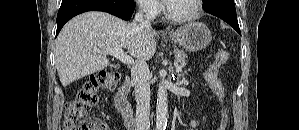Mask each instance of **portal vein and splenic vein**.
Masks as SVG:
<instances>
[{
    "instance_id": "1",
    "label": "portal vein and splenic vein",
    "mask_w": 299,
    "mask_h": 130,
    "mask_svg": "<svg viewBox=\"0 0 299 130\" xmlns=\"http://www.w3.org/2000/svg\"><path fill=\"white\" fill-rule=\"evenodd\" d=\"M97 52L101 53V54H110L113 57H115L116 59L120 60L123 63L126 64H132L133 63V59L132 57H130L129 55H127L122 49L117 48V49H107V50H97ZM182 67L177 65L176 66V72H181Z\"/></svg>"
}]
</instances>
